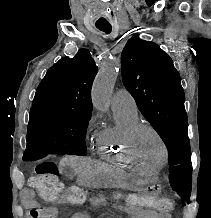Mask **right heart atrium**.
Segmentation results:
<instances>
[{
  "label": "right heart atrium",
  "instance_id": "right-heart-atrium-1",
  "mask_svg": "<svg viewBox=\"0 0 211 218\" xmlns=\"http://www.w3.org/2000/svg\"><path fill=\"white\" fill-rule=\"evenodd\" d=\"M96 121H97L96 116H92V117L89 119V121H88V126H89L90 128H94L95 125H96ZM97 135H98V134H97Z\"/></svg>",
  "mask_w": 211,
  "mask_h": 218
}]
</instances>
